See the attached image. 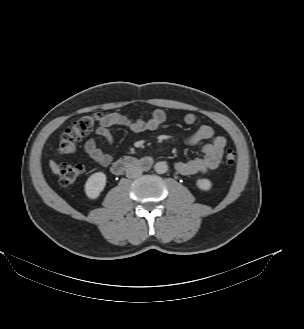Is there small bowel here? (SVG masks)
<instances>
[{
	"label": "small bowel",
	"mask_w": 304,
	"mask_h": 329,
	"mask_svg": "<svg viewBox=\"0 0 304 329\" xmlns=\"http://www.w3.org/2000/svg\"><path fill=\"white\" fill-rule=\"evenodd\" d=\"M166 119L167 114L162 109H156L151 115L138 119H131L126 115L110 112L102 117L96 129V134L105 143H111L113 138L112 127H123L135 133H143L158 129ZM183 121L186 125H193L196 122V116L188 113L184 116ZM183 140L189 145H196L204 140H207V142L201 146L202 157L175 163V169L178 173L182 175H199L212 171L219 166L226 146V139L223 136L216 135L212 127L202 125L193 133L183 136ZM84 149L86 154L100 166L108 167L112 163V156L99 147L97 140H87Z\"/></svg>",
	"instance_id": "1"
}]
</instances>
